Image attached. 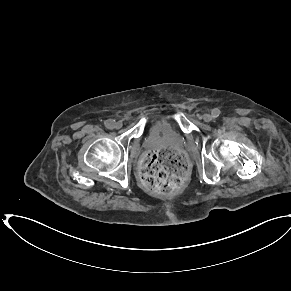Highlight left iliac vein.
Returning <instances> with one entry per match:
<instances>
[{"label":"left iliac vein","instance_id":"1","mask_svg":"<svg viewBox=\"0 0 291 291\" xmlns=\"http://www.w3.org/2000/svg\"><path fill=\"white\" fill-rule=\"evenodd\" d=\"M203 120H204L205 122H210V121L212 120V116H211L210 114H205V115L203 116Z\"/></svg>","mask_w":291,"mask_h":291}]
</instances>
